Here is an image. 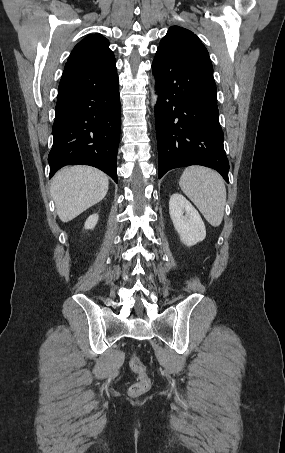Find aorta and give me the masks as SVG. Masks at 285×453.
Segmentation results:
<instances>
[{"instance_id":"1","label":"aorta","mask_w":285,"mask_h":453,"mask_svg":"<svg viewBox=\"0 0 285 453\" xmlns=\"http://www.w3.org/2000/svg\"><path fill=\"white\" fill-rule=\"evenodd\" d=\"M155 84V81L153 82ZM151 99H152V106L154 107L157 103L158 100V95L156 94V90L154 88V85L151 89Z\"/></svg>"}]
</instances>
